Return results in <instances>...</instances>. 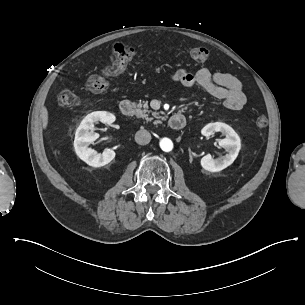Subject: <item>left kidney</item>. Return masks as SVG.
Instances as JSON below:
<instances>
[{
  "label": "left kidney",
  "mask_w": 305,
  "mask_h": 305,
  "mask_svg": "<svg viewBox=\"0 0 305 305\" xmlns=\"http://www.w3.org/2000/svg\"><path fill=\"white\" fill-rule=\"evenodd\" d=\"M215 132H221L226 137L219 140V146L223 147L228 153L217 159L210 154L201 159V166L210 172H218L231 165L241 148L240 137L229 125L222 122L209 123L201 130L202 135L209 137Z\"/></svg>",
  "instance_id": "1"
}]
</instances>
